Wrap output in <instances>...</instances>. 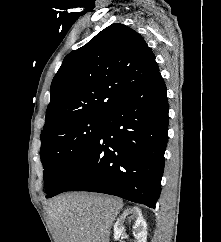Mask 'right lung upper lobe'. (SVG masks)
<instances>
[{"label":"right lung upper lobe","mask_w":221,"mask_h":242,"mask_svg":"<svg viewBox=\"0 0 221 242\" xmlns=\"http://www.w3.org/2000/svg\"><path fill=\"white\" fill-rule=\"evenodd\" d=\"M158 73L139 33L119 23L108 26L64 58L51 84L42 134L79 118L104 116Z\"/></svg>","instance_id":"obj_1"}]
</instances>
